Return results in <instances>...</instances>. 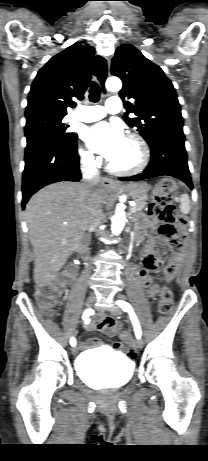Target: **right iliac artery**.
Returning a JSON list of instances; mask_svg holds the SVG:
<instances>
[{"label": "right iliac artery", "instance_id": "obj_1", "mask_svg": "<svg viewBox=\"0 0 208 461\" xmlns=\"http://www.w3.org/2000/svg\"><path fill=\"white\" fill-rule=\"evenodd\" d=\"M90 311H91L90 309H87V310L84 312V314H83V316H82L83 320H88ZM70 344H71L72 346H75V345H76V340H75L74 337L71 338Z\"/></svg>", "mask_w": 208, "mask_h": 461}]
</instances>
